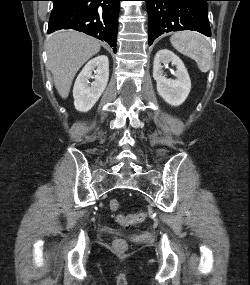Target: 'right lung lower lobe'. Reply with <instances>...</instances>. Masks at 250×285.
Listing matches in <instances>:
<instances>
[{"label":"right lung lower lobe","mask_w":250,"mask_h":285,"mask_svg":"<svg viewBox=\"0 0 250 285\" xmlns=\"http://www.w3.org/2000/svg\"><path fill=\"white\" fill-rule=\"evenodd\" d=\"M48 33L75 29L116 47L121 0H52ZM116 52V48L113 49Z\"/></svg>","instance_id":"obj_1"}]
</instances>
